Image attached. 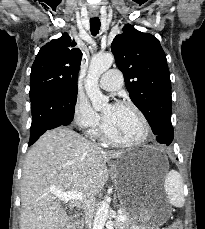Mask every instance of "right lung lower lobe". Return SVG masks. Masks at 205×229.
Segmentation results:
<instances>
[{
    "label": "right lung lower lobe",
    "mask_w": 205,
    "mask_h": 229,
    "mask_svg": "<svg viewBox=\"0 0 205 229\" xmlns=\"http://www.w3.org/2000/svg\"><path fill=\"white\" fill-rule=\"evenodd\" d=\"M76 98L65 91H52L31 100L32 124L29 146L46 132L73 120Z\"/></svg>",
    "instance_id": "98d812e1"
}]
</instances>
